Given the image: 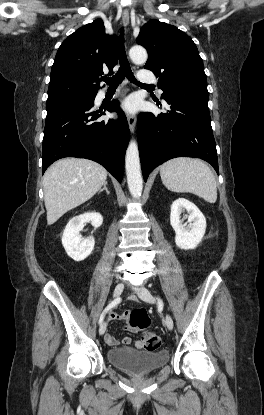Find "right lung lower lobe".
Wrapping results in <instances>:
<instances>
[{"label":"right lung lower lobe","instance_id":"right-lung-lower-lobe-1","mask_svg":"<svg viewBox=\"0 0 264 415\" xmlns=\"http://www.w3.org/2000/svg\"><path fill=\"white\" fill-rule=\"evenodd\" d=\"M93 106L94 99L46 107L42 173L60 158L77 157L100 163L122 181L130 137L126 116L118 102L112 101L106 109L118 112V120L98 121L102 114L94 111Z\"/></svg>","mask_w":264,"mask_h":415}]
</instances>
